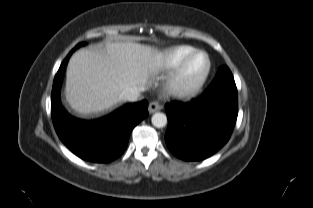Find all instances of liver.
Here are the masks:
<instances>
[{"mask_svg": "<svg viewBox=\"0 0 313 208\" xmlns=\"http://www.w3.org/2000/svg\"><path fill=\"white\" fill-rule=\"evenodd\" d=\"M164 54L135 42H108L105 48L76 52L67 67L66 99L81 114L111 109L128 87L144 90L157 74Z\"/></svg>", "mask_w": 313, "mask_h": 208, "instance_id": "obj_1", "label": "liver"}]
</instances>
